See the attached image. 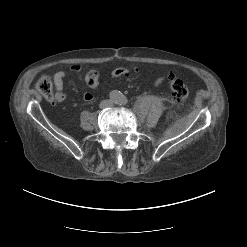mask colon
<instances>
[{
	"label": "colon",
	"instance_id": "5ec220e1",
	"mask_svg": "<svg viewBox=\"0 0 247 247\" xmlns=\"http://www.w3.org/2000/svg\"><path fill=\"white\" fill-rule=\"evenodd\" d=\"M85 80L90 88H95L99 84V80H100L99 73L96 70H90L87 73ZM36 87L47 101L50 102L54 101L52 83L49 77L47 76L41 77L38 80ZM169 89L172 99L178 105H183L187 101L189 96V91H188V87L182 80L172 77L169 81Z\"/></svg>",
	"mask_w": 247,
	"mask_h": 247
}]
</instances>
